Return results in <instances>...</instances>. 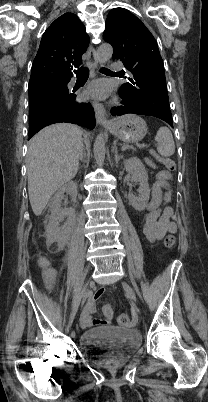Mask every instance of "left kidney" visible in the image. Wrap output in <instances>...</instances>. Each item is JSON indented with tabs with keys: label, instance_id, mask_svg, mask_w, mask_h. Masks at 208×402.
<instances>
[{
	"label": "left kidney",
	"instance_id": "1",
	"mask_svg": "<svg viewBox=\"0 0 208 402\" xmlns=\"http://www.w3.org/2000/svg\"><path fill=\"white\" fill-rule=\"evenodd\" d=\"M124 168L130 174L131 182H140V188L137 190L139 196H133L131 192L128 194L130 206H133L138 212L145 210L150 198V190L148 184V176L144 164L138 158H129L124 160Z\"/></svg>",
	"mask_w": 208,
	"mask_h": 402
}]
</instances>
